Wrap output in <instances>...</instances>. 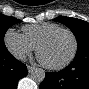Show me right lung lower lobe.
I'll use <instances>...</instances> for the list:
<instances>
[{"label":"right lung lower lobe","instance_id":"obj_1","mask_svg":"<svg viewBox=\"0 0 89 89\" xmlns=\"http://www.w3.org/2000/svg\"><path fill=\"white\" fill-rule=\"evenodd\" d=\"M27 67L5 48L0 49V89H15L18 80L26 76Z\"/></svg>","mask_w":89,"mask_h":89}]
</instances>
